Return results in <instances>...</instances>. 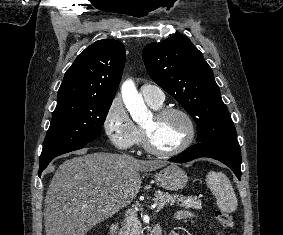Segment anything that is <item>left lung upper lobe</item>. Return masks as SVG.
<instances>
[{"mask_svg":"<svg viewBox=\"0 0 283 235\" xmlns=\"http://www.w3.org/2000/svg\"><path fill=\"white\" fill-rule=\"evenodd\" d=\"M146 69L197 124V142L236 137L211 67L184 35H173L143 49Z\"/></svg>","mask_w":283,"mask_h":235,"instance_id":"5c2ea615","label":"left lung upper lobe"}]
</instances>
